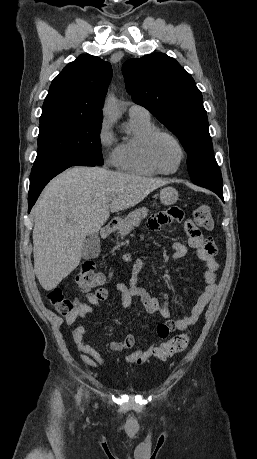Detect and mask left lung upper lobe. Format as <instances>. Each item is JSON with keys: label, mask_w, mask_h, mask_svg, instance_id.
<instances>
[{"label": "left lung upper lobe", "mask_w": 257, "mask_h": 459, "mask_svg": "<svg viewBox=\"0 0 257 459\" xmlns=\"http://www.w3.org/2000/svg\"><path fill=\"white\" fill-rule=\"evenodd\" d=\"M122 72L133 101L148 109L180 140L188 154L193 183L223 190L202 94L191 75L163 53L130 59L123 64Z\"/></svg>", "instance_id": "obj_1"}]
</instances>
